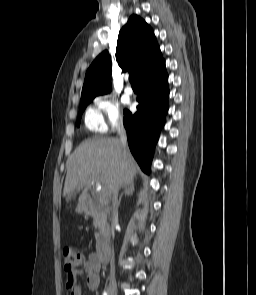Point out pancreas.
<instances>
[{
    "label": "pancreas",
    "instance_id": "1",
    "mask_svg": "<svg viewBox=\"0 0 256 295\" xmlns=\"http://www.w3.org/2000/svg\"><path fill=\"white\" fill-rule=\"evenodd\" d=\"M93 224L95 229L98 230L95 232V238L98 240L100 236L104 235L107 232V222L105 214L102 212L94 213Z\"/></svg>",
    "mask_w": 256,
    "mask_h": 295
}]
</instances>
